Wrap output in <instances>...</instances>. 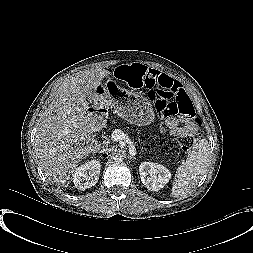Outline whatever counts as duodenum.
Instances as JSON below:
<instances>
[{
    "mask_svg": "<svg viewBox=\"0 0 253 253\" xmlns=\"http://www.w3.org/2000/svg\"><path fill=\"white\" fill-rule=\"evenodd\" d=\"M89 117L92 125L102 127L105 123L106 110L102 107H92L89 109Z\"/></svg>",
    "mask_w": 253,
    "mask_h": 253,
    "instance_id": "1",
    "label": "duodenum"
}]
</instances>
